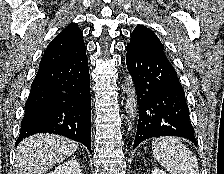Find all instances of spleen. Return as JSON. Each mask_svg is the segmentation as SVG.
Listing matches in <instances>:
<instances>
[{"label": "spleen", "mask_w": 224, "mask_h": 174, "mask_svg": "<svg viewBox=\"0 0 224 174\" xmlns=\"http://www.w3.org/2000/svg\"><path fill=\"white\" fill-rule=\"evenodd\" d=\"M155 159L170 174H199L197 158L176 137H160L152 142Z\"/></svg>", "instance_id": "3e777b00"}]
</instances>
